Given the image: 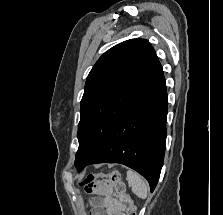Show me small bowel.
<instances>
[{
	"label": "small bowel",
	"mask_w": 223,
	"mask_h": 215,
	"mask_svg": "<svg viewBox=\"0 0 223 215\" xmlns=\"http://www.w3.org/2000/svg\"><path fill=\"white\" fill-rule=\"evenodd\" d=\"M90 191L100 196V198L94 200L92 215H126L125 205L112 197V184L110 181H97Z\"/></svg>",
	"instance_id": "c3829d8e"
}]
</instances>
